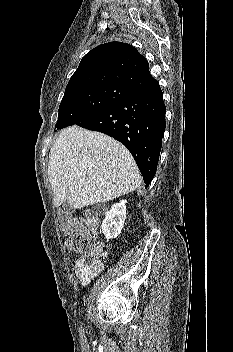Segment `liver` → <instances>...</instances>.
<instances>
[{"label": "liver", "mask_w": 233, "mask_h": 352, "mask_svg": "<svg viewBox=\"0 0 233 352\" xmlns=\"http://www.w3.org/2000/svg\"><path fill=\"white\" fill-rule=\"evenodd\" d=\"M48 178L54 205L75 209L103 203L136 190L139 169L124 145L78 126L64 129L49 153Z\"/></svg>", "instance_id": "6515ba94"}]
</instances>
